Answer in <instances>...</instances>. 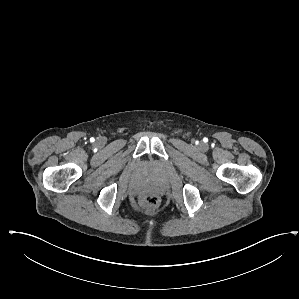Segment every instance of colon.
<instances>
[{
  "mask_svg": "<svg viewBox=\"0 0 299 299\" xmlns=\"http://www.w3.org/2000/svg\"><path fill=\"white\" fill-rule=\"evenodd\" d=\"M141 204L145 208L153 209L158 205V198L155 195H147L142 198Z\"/></svg>",
  "mask_w": 299,
  "mask_h": 299,
  "instance_id": "colon-1",
  "label": "colon"
}]
</instances>
